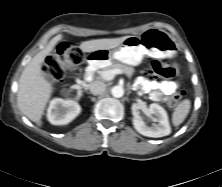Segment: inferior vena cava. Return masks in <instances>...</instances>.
I'll return each instance as SVG.
<instances>
[{
  "label": "inferior vena cava",
  "instance_id": "1",
  "mask_svg": "<svg viewBox=\"0 0 222 187\" xmlns=\"http://www.w3.org/2000/svg\"><path fill=\"white\" fill-rule=\"evenodd\" d=\"M89 89L92 94L98 95L105 91L106 85L102 81H93L89 84Z\"/></svg>",
  "mask_w": 222,
  "mask_h": 187
}]
</instances>
